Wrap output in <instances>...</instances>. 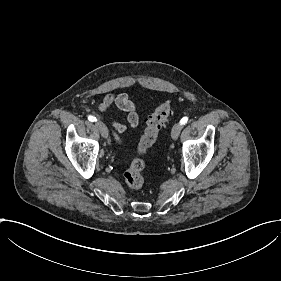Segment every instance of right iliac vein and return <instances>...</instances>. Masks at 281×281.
Wrapping results in <instances>:
<instances>
[{"mask_svg": "<svg viewBox=\"0 0 281 281\" xmlns=\"http://www.w3.org/2000/svg\"><path fill=\"white\" fill-rule=\"evenodd\" d=\"M97 127H99V130L101 131V133L103 135L102 138H105V137L109 138V136L107 135L108 130H107L106 124H104L103 122L97 121Z\"/></svg>", "mask_w": 281, "mask_h": 281, "instance_id": "1", "label": "right iliac vein"}]
</instances>
